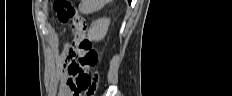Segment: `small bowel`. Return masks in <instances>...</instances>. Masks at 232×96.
Masks as SVG:
<instances>
[{"label": "small bowel", "mask_w": 232, "mask_h": 96, "mask_svg": "<svg viewBox=\"0 0 232 96\" xmlns=\"http://www.w3.org/2000/svg\"><path fill=\"white\" fill-rule=\"evenodd\" d=\"M70 60L68 54H63L61 57V65L65 67ZM75 80L76 76L71 75L67 68V75L61 78V84L59 89L60 96H72L75 93Z\"/></svg>", "instance_id": "obj_1"}]
</instances>
